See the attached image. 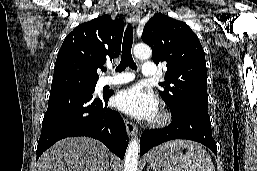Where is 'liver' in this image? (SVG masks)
I'll list each match as a JSON object with an SVG mask.
<instances>
[{
    "instance_id": "1",
    "label": "liver",
    "mask_w": 257,
    "mask_h": 171,
    "mask_svg": "<svg viewBox=\"0 0 257 171\" xmlns=\"http://www.w3.org/2000/svg\"><path fill=\"white\" fill-rule=\"evenodd\" d=\"M110 152L99 141L86 137L65 138L38 160V171H106Z\"/></svg>"
}]
</instances>
